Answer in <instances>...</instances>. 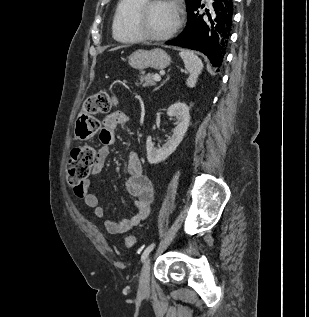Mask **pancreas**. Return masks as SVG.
<instances>
[{"label":"pancreas","mask_w":309,"mask_h":317,"mask_svg":"<svg viewBox=\"0 0 309 317\" xmlns=\"http://www.w3.org/2000/svg\"><path fill=\"white\" fill-rule=\"evenodd\" d=\"M139 81L142 84L143 87H148V86H155L156 81L154 80V75L153 74H148V75H142L139 77ZM138 86V83H136Z\"/></svg>","instance_id":"pancreas-1"}]
</instances>
